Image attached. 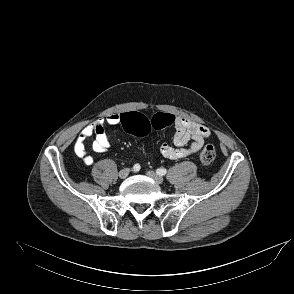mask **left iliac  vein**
<instances>
[{
  "label": "left iliac vein",
  "instance_id": "1",
  "mask_svg": "<svg viewBox=\"0 0 294 294\" xmlns=\"http://www.w3.org/2000/svg\"><path fill=\"white\" fill-rule=\"evenodd\" d=\"M147 176H149L150 178H152L154 181H156L158 184L163 183L164 179L162 176L156 174L153 171H147L146 172Z\"/></svg>",
  "mask_w": 294,
  "mask_h": 294
}]
</instances>
